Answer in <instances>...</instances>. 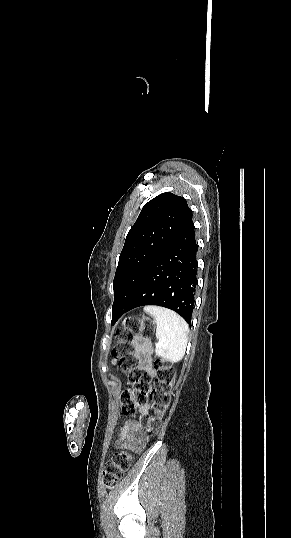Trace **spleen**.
Segmentation results:
<instances>
[{
	"label": "spleen",
	"instance_id": "3e777b00",
	"mask_svg": "<svg viewBox=\"0 0 291 538\" xmlns=\"http://www.w3.org/2000/svg\"><path fill=\"white\" fill-rule=\"evenodd\" d=\"M144 311L151 314L156 322V338L162 345L156 347V354L172 363L180 361L186 351L189 326L176 312L159 306H146Z\"/></svg>",
	"mask_w": 291,
	"mask_h": 538
}]
</instances>
